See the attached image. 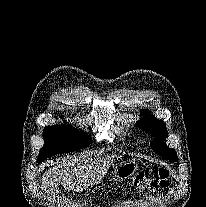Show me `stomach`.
<instances>
[{
	"mask_svg": "<svg viewBox=\"0 0 206 207\" xmlns=\"http://www.w3.org/2000/svg\"><path fill=\"white\" fill-rule=\"evenodd\" d=\"M137 171L138 162L135 160L125 161L115 167L111 174V179L113 181H122L130 178Z\"/></svg>",
	"mask_w": 206,
	"mask_h": 207,
	"instance_id": "stomach-1",
	"label": "stomach"
}]
</instances>
